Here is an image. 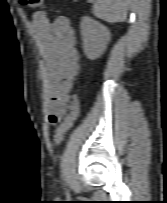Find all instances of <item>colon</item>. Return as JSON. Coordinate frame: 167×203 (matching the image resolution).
<instances>
[{
	"instance_id": "obj_1",
	"label": "colon",
	"mask_w": 167,
	"mask_h": 203,
	"mask_svg": "<svg viewBox=\"0 0 167 203\" xmlns=\"http://www.w3.org/2000/svg\"><path fill=\"white\" fill-rule=\"evenodd\" d=\"M20 3L23 6H28L32 9H42L44 6V0H20ZM79 114V104L77 97L75 95L72 96L71 99V107L69 114L65 117V119L62 121L61 125L57 129L56 135H55V145L59 146L70 128L73 126L75 120L77 119Z\"/></svg>"
}]
</instances>
